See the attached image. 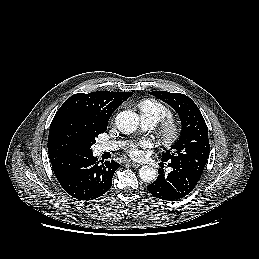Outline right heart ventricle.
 Listing matches in <instances>:
<instances>
[{
  "label": "right heart ventricle",
  "instance_id": "right-heart-ventricle-1",
  "mask_svg": "<svg viewBox=\"0 0 259 259\" xmlns=\"http://www.w3.org/2000/svg\"><path fill=\"white\" fill-rule=\"evenodd\" d=\"M141 115L152 117L156 123L171 115V110L164 103L156 99H144L139 103Z\"/></svg>",
  "mask_w": 259,
  "mask_h": 259
}]
</instances>
